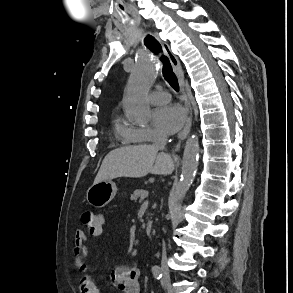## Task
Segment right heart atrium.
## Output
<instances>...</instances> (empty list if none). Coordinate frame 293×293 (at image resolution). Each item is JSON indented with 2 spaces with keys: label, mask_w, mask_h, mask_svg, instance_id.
Returning <instances> with one entry per match:
<instances>
[{
  "label": "right heart atrium",
  "mask_w": 293,
  "mask_h": 293,
  "mask_svg": "<svg viewBox=\"0 0 293 293\" xmlns=\"http://www.w3.org/2000/svg\"><path fill=\"white\" fill-rule=\"evenodd\" d=\"M127 138L136 140V141H144V142H151L157 139H161L163 135L157 132L150 126H141V127H134L129 126L127 132Z\"/></svg>",
  "instance_id": "1"
}]
</instances>
